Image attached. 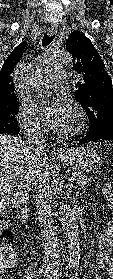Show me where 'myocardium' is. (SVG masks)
<instances>
[{"mask_svg": "<svg viewBox=\"0 0 113 279\" xmlns=\"http://www.w3.org/2000/svg\"><path fill=\"white\" fill-rule=\"evenodd\" d=\"M75 123L74 126L66 133L67 136H75L83 131L85 124L82 113L78 108H75Z\"/></svg>", "mask_w": 113, "mask_h": 279, "instance_id": "f54148a6", "label": "myocardium"}]
</instances>
